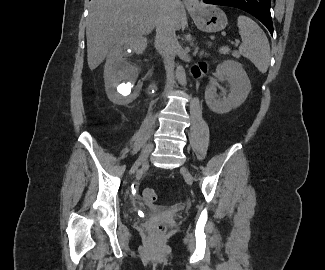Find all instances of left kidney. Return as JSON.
Segmentation results:
<instances>
[{
  "label": "left kidney",
  "instance_id": "5707ae66",
  "mask_svg": "<svg viewBox=\"0 0 325 270\" xmlns=\"http://www.w3.org/2000/svg\"><path fill=\"white\" fill-rule=\"evenodd\" d=\"M216 77L220 81L226 80L230 85V92L223 100L216 98V83H211L205 90L207 106L215 113L224 114L239 107L247 98L251 84L239 62L227 60L216 67Z\"/></svg>",
  "mask_w": 325,
  "mask_h": 270
}]
</instances>
